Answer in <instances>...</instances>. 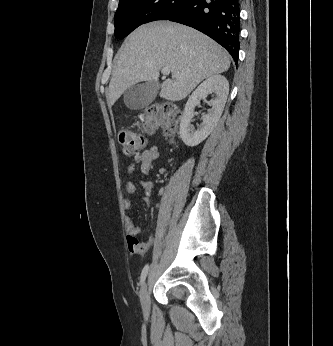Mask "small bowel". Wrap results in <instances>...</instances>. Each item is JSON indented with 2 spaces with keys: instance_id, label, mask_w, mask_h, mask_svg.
Returning a JSON list of instances; mask_svg holds the SVG:
<instances>
[{
  "instance_id": "c3829d8e",
  "label": "small bowel",
  "mask_w": 333,
  "mask_h": 346,
  "mask_svg": "<svg viewBox=\"0 0 333 346\" xmlns=\"http://www.w3.org/2000/svg\"><path fill=\"white\" fill-rule=\"evenodd\" d=\"M160 158L159 148L155 145L146 148L141 153H137L134 156V161L127 165L126 171L129 175L135 173L137 167H140L141 172L144 175L150 174L155 167L156 162ZM146 196L144 197V202L149 204L151 201V194L154 191V186L152 183L144 182L143 183ZM126 192L128 195L133 196L137 192V188L133 182L126 183ZM133 205V202L130 198L125 199L124 206L126 209H130ZM126 231H127V240L126 245L131 250L132 254H151L152 253V244L154 242V237L150 235L146 240L137 239V236L140 234V227L135 222L133 217H128L126 219Z\"/></svg>"
}]
</instances>
